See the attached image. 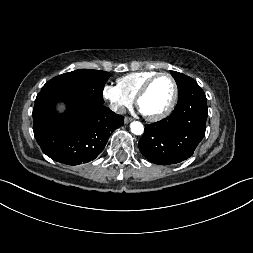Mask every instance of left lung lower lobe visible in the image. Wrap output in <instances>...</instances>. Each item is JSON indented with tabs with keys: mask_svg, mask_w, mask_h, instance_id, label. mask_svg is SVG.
<instances>
[{
	"mask_svg": "<svg viewBox=\"0 0 253 253\" xmlns=\"http://www.w3.org/2000/svg\"><path fill=\"white\" fill-rule=\"evenodd\" d=\"M208 117L207 99L197 83L179 95L174 111L145 126L139 140L141 153L150 162L171 165L191 157L203 139Z\"/></svg>",
	"mask_w": 253,
	"mask_h": 253,
	"instance_id": "obj_1",
	"label": "left lung lower lobe"
}]
</instances>
